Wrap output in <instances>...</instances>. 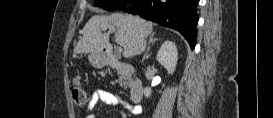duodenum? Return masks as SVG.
I'll return each mask as SVG.
<instances>
[{"label": "duodenum", "mask_w": 273, "mask_h": 118, "mask_svg": "<svg viewBox=\"0 0 273 118\" xmlns=\"http://www.w3.org/2000/svg\"><path fill=\"white\" fill-rule=\"evenodd\" d=\"M104 60L109 66L117 69L123 76L130 78L129 87L130 99L135 103L139 102L143 96L144 85L142 81L133 77L134 68L130 64L117 61L115 57L108 51L104 55Z\"/></svg>", "instance_id": "obj_1"}]
</instances>
